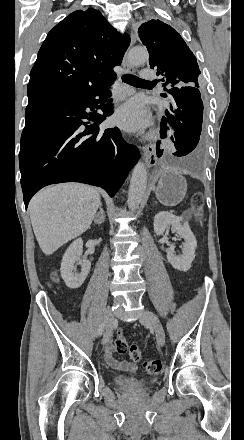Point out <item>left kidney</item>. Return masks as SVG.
Here are the masks:
<instances>
[{
  "label": "left kidney",
  "mask_w": 244,
  "mask_h": 440,
  "mask_svg": "<svg viewBox=\"0 0 244 440\" xmlns=\"http://www.w3.org/2000/svg\"><path fill=\"white\" fill-rule=\"evenodd\" d=\"M172 226L173 232L178 234V238H184L181 256H176L175 246H169L167 250V260L175 270L187 272L190 270L191 264L195 258L197 248V240L190 230V226L186 220H182L179 216H174L170 212H159L154 218V232L157 236H163L166 230Z\"/></svg>",
  "instance_id": "left-kidney-1"
}]
</instances>
